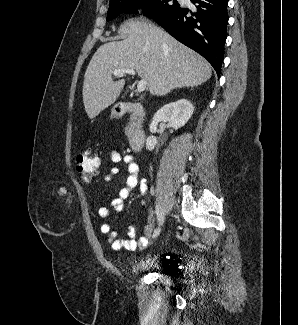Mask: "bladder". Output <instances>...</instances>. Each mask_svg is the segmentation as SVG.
Segmentation results:
<instances>
[{"label": "bladder", "instance_id": "obj_1", "mask_svg": "<svg viewBox=\"0 0 298 325\" xmlns=\"http://www.w3.org/2000/svg\"><path fill=\"white\" fill-rule=\"evenodd\" d=\"M156 267L155 261L152 258H147L133 264L129 271L133 275H138L144 272L154 270Z\"/></svg>", "mask_w": 298, "mask_h": 325}]
</instances>
